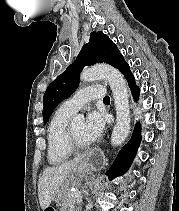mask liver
Instances as JSON below:
<instances>
[{"mask_svg":"<svg viewBox=\"0 0 179 211\" xmlns=\"http://www.w3.org/2000/svg\"><path fill=\"white\" fill-rule=\"evenodd\" d=\"M82 164V158H75L58 166L44 169L38 182V197L41 209L49 207L53 198L62 189L71 174Z\"/></svg>","mask_w":179,"mask_h":211,"instance_id":"1","label":"liver"}]
</instances>
